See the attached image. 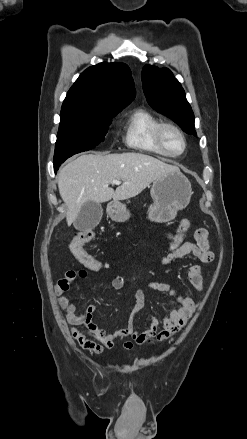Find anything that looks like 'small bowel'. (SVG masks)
Listing matches in <instances>:
<instances>
[{"mask_svg":"<svg viewBox=\"0 0 247 439\" xmlns=\"http://www.w3.org/2000/svg\"><path fill=\"white\" fill-rule=\"evenodd\" d=\"M168 237L173 241L176 238V233H169ZM194 238L195 243L182 241L176 250L169 252L162 258L161 264L167 266L176 260L190 255L202 263L212 262L214 254L209 247L208 231L204 228L197 229ZM76 277L77 274L75 271H67L57 282L55 293L59 297L58 301L61 308L66 313V320L71 325L74 339L83 349L96 354L102 353L104 349L113 348L118 340L124 337L132 339V341L122 343L123 347L127 350L132 349L134 344L144 345L155 341L168 340L187 324L197 307V303L194 299L188 296L178 295L170 285L151 281L148 283L149 289L166 293L171 297V308L163 319L162 329H160L159 320L153 315H150V326L146 330L134 326L136 315L145 309L144 290L137 289L135 291V304L129 315L127 327L113 333H108L94 323L93 316L96 311L94 305L87 306L83 313H77L76 306L65 295V292L68 291ZM187 277L195 289L198 291L204 290L202 271L199 265L190 266ZM123 286L124 279L121 276H116L112 280V288L114 290H120ZM77 327L84 328L90 338H87Z\"/></svg>","mask_w":247,"mask_h":439,"instance_id":"small-bowel-1","label":"small bowel"}]
</instances>
